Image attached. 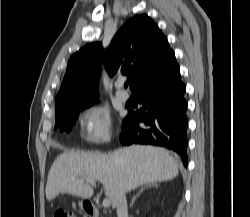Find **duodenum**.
Masks as SVG:
<instances>
[{
    "label": "duodenum",
    "instance_id": "1",
    "mask_svg": "<svg viewBox=\"0 0 250 217\" xmlns=\"http://www.w3.org/2000/svg\"><path fill=\"white\" fill-rule=\"evenodd\" d=\"M84 209L89 217H100V212L94 205L87 203L84 205Z\"/></svg>",
    "mask_w": 250,
    "mask_h": 217
}]
</instances>
